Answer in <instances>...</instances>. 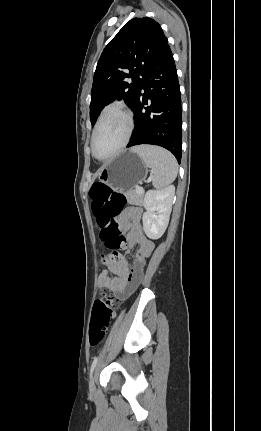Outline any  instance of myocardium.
I'll use <instances>...</instances> for the list:
<instances>
[{
    "label": "myocardium",
    "mask_w": 261,
    "mask_h": 431,
    "mask_svg": "<svg viewBox=\"0 0 261 431\" xmlns=\"http://www.w3.org/2000/svg\"><path fill=\"white\" fill-rule=\"evenodd\" d=\"M114 112L119 113V114H121L124 117V119L126 121V125H127L126 134H125V137H124L122 143L119 145V147L113 153H111L110 155H108L106 157H99L95 153V138H96V134H97V132H98L101 124L105 120L106 116L108 114L114 113ZM133 129H134V119H133L132 113L128 109H126V108H124V107H122L120 105H113V106H110V107L106 108L102 112V114L100 115V117H99V119H98V121H97V123H96V125L94 127L93 133H92V137H91V151H92L93 156L96 159H98V160L105 161V160H109V159L115 157L116 155H118L120 152H122L124 150V148L129 143L130 138H131L132 133H133Z\"/></svg>",
    "instance_id": "f54148a6"
}]
</instances>
